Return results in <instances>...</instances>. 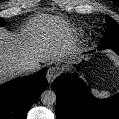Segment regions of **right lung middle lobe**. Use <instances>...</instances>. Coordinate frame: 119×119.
Returning a JSON list of instances; mask_svg holds the SVG:
<instances>
[{"label":"right lung middle lobe","instance_id":"right-lung-middle-lobe-1","mask_svg":"<svg viewBox=\"0 0 119 119\" xmlns=\"http://www.w3.org/2000/svg\"><path fill=\"white\" fill-rule=\"evenodd\" d=\"M6 23L3 19H0V26H4Z\"/></svg>","mask_w":119,"mask_h":119}]
</instances>
